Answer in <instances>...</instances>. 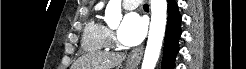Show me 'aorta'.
<instances>
[{
  "instance_id": "aorta-1",
  "label": "aorta",
  "mask_w": 246,
  "mask_h": 69,
  "mask_svg": "<svg viewBox=\"0 0 246 69\" xmlns=\"http://www.w3.org/2000/svg\"><path fill=\"white\" fill-rule=\"evenodd\" d=\"M122 19L121 0H109L105 10L108 25L118 24ZM167 1L151 0V23L142 69H154L159 58L165 35Z\"/></svg>"
}]
</instances>
